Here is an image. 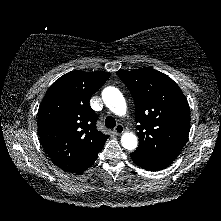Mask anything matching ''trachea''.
Instances as JSON below:
<instances>
[{
  "mask_svg": "<svg viewBox=\"0 0 221 221\" xmlns=\"http://www.w3.org/2000/svg\"><path fill=\"white\" fill-rule=\"evenodd\" d=\"M105 126L107 128H114L116 126V121L113 117L111 116H108L106 119H105Z\"/></svg>",
  "mask_w": 221,
  "mask_h": 221,
  "instance_id": "obj_1",
  "label": "trachea"
}]
</instances>
